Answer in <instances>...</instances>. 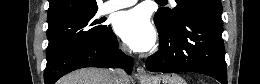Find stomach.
<instances>
[{
    "instance_id": "1",
    "label": "stomach",
    "mask_w": 260,
    "mask_h": 84,
    "mask_svg": "<svg viewBox=\"0 0 260 84\" xmlns=\"http://www.w3.org/2000/svg\"><path fill=\"white\" fill-rule=\"evenodd\" d=\"M145 84H187L186 81L179 75L172 74H161L153 77Z\"/></svg>"
}]
</instances>
